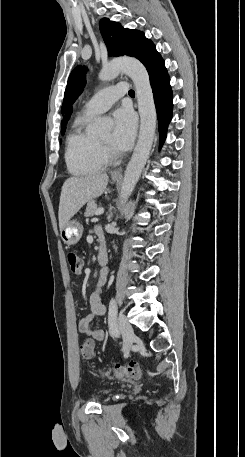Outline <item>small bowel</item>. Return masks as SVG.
Masks as SVG:
<instances>
[{"instance_id":"small-bowel-1","label":"small bowel","mask_w":245,"mask_h":457,"mask_svg":"<svg viewBox=\"0 0 245 457\" xmlns=\"http://www.w3.org/2000/svg\"><path fill=\"white\" fill-rule=\"evenodd\" d=\"M103 246V245H102ZM106 270H102L99 280L95 285L90 297H89V305H90V313L82 318L78 324V330L81 334L91 337L96 341H103L105 338V332L103 329H93L91 327V322L94 318L102 316L106 312V307L102 302V294L104 291V286L106 283Z\"/></svg>"}]
</instances>
